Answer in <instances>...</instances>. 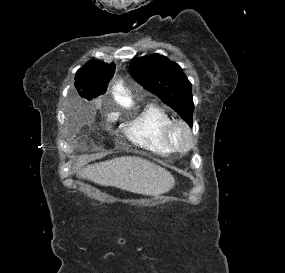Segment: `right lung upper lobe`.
<instances>
[{"mask_svg":"<svg viewBox=\"0 0 285 273\" xmlns=\"http://www.w3.org/2000/svg\"><path fill=\"white\" fill-rule=\"evenodd\" d=\"M115 71L114 64L93 60L78 70L75 87L79 95L91 100L106 92L108 83Z\"/></svg>","mask_w":285,"mask_h":273,"instance_id":"obj_1","label":"right lung upper lobe"}]
</instances>
